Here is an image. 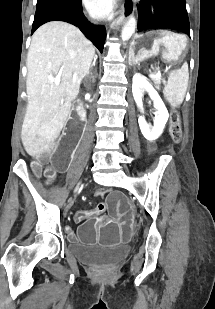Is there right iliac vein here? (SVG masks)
Instances as JSON below:
<instances>
[{
    "label": "right iliac vein",
    "instance_id": "right-iliac-vein-1",
    "mask_svg": "<svg viewBox=\"0 0 215 309\" xmlns=\"http://www.w3.org/2000/svg\"><path fill=\"white\" fill-rule=\"evenodd\" d=\"M79 186H80L79 184L76 186V188H75L76 191L79 189Z\"/></svg>",
    "mask_w": 215,
    "mask_h": 309
}]
</instances>
